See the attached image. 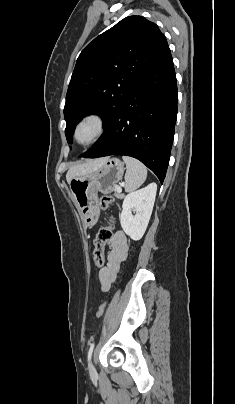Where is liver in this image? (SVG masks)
Returning a JSON list of instances; mask_svg holds the SVG:
<instances>
[{
	"label": "liver",
	"mask_w": 235,
	"mask_h": 404,
	"mask_svg": "<svg viewBox=\"0 0 235 404\" xmlns=\"http://www.w3.org/2000/svg\"><path fill=\"white\" fill-rule=\"evenodd\" d=\"M107 158H100V159H95V160H89L85 163L82 164H77L68 170L66 174V180L68 183L77 176L84 175L86 173H89L93 170L98 169L100 166L103 165V163L106 161Z\"/></svg>",
	"instance_id": "1"
}]
</instances>
